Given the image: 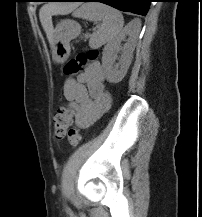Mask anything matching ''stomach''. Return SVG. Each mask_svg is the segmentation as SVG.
Returning a JSON list of instances; mask_svg holds the SVG:
<instances>
[{
    "label": "stomach",
    "instance_id": "obj_1",
    "mask_svg": "<svg viewBox=\"0 0 202 217\" xmlns=\"http://www.w3.org/2000/svg\"><path fill=\"white\" fill-rule=\"evenodd\" d=\"M81 31L78 23L72 20L62 21L55 29L52 41V57L55 62L62 63L70 55V41Z\"/></svg>",
    "mask_w": 202,
    "mask_h": 217
}]
</instances>
